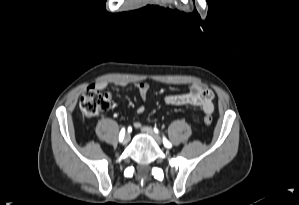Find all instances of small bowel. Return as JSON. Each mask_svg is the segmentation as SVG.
<instances>
[{
	"instance_id": "c3829d8e",
	"label": "small bowel",
	"mask_w": 299,
	"mask_h": 205,
	"mask_svg": "<svg viewBox=\"0 0 299 205\" xmlns=\"http://www.w3.org/2000/svg\"><path fill=\"white\" fill-rule=\"evenodd\" d=\"M105 82H98L95 88L102 90L106 87ZM142 101H146L149 93V84L146 82H138L134 84ZM214 94L211 90L199 83H193L190 90L185 93L169 94L165 97V103L172 106L193 105L200 107L204 113L212 114L214 111L213 104ZM145 112L144 106L137 108V114L142 115ZM140 121H136L134 126L138 128Z\"/></svg>"
}]
</instances>
